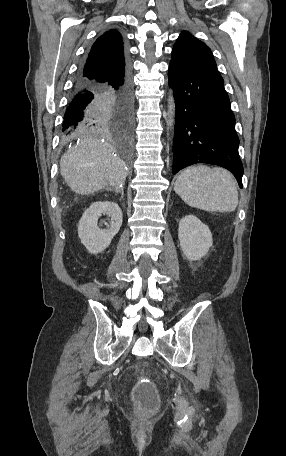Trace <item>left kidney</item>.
<instances>
[{"label":"left kidney","instance_id":"obj_1","mask_svg":"<svg viewBox=\"0 0 286 456\" xmlns=\"http://www.w3.org/2000/svg\"><path fill=\"white\" fill-rule=\"evenodd\" d=\"M178 238L183 255L189 261L201 259L213 244L211 231L194 215L180 220Z\"/></svg>","mask_w":286,"mask_h":456}]
</instances>
